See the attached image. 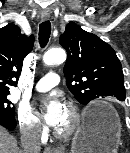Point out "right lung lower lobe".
Returning <instances> with one entry per match:
<instances>
[{
    "label": "right lung lower lobe",
    "instance_id": "1",
    "mask_svg": "<svg viewBox=\"0 0 130 153\" xmlns=\"http://www.w3.org/2000/svg\"><path fill=\"white\" fill-rule=\"evenodd\" d=\"M0 125L4 126L8 130L12 131L16 127V121L15 118H9L5 116L4 114H0Z\"/></svg>",
    "mask_w": 130,
    "mask_h": 153
}]
</instances>
